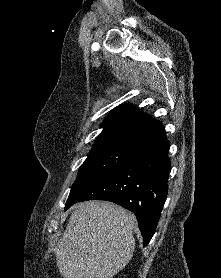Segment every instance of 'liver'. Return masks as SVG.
<instances>
[{"mask_svg":"<svg viewBox=\"0 0 221 278\" xmlns=\"http://www.w3.org/2000/svg\"><path fill=\"white\" fill-rule=\"evenodd\" d=\"M136 217L105 201L76 205L55 249L65 278H113L131 260Z\"/></svg>","mask_w":221,"mask_h":278,"instance_id":"obj_1","label":"liver"}]
</instances>
